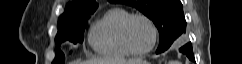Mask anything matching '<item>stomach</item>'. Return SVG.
Listing matches in <instances>:
<instances>
[{"label": "stomach", "mask_w": 242, "mask_h": 64, "mask_svg": "<svg viewBox=\"0 0 242 64\" xmlns=\"http://www.w3.org/2000/svg\"><path fill=\"white\" fill-rule=\"evenodd\" d=\"M140 64H149L148 62H146V61H143L142 63H140Z\"/></svg>", "instance_id": "stomach-1"}]
</instances>
